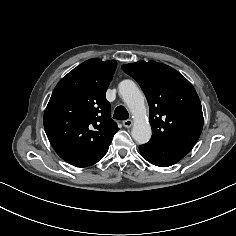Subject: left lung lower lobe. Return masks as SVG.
<instances>
[{"label":"left lung lower lobe","instance_id":"left-lung-lower-lobe-1","mask_svg":"<svg viewBox=\"0 0 236 236\" xmlns=\"http://www.w3.org/2000/svg\"><path fill=\"white\" fill-rule=\"evenodd\" d=\"M194 144L182 143H146L140 145L139 150L142 156L151 164L168 167L188 154Z\"/></svg>","mask_w":236,"mask_h":236}]
</instances>
